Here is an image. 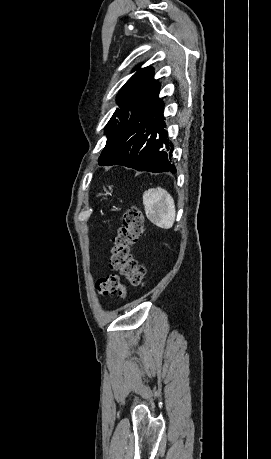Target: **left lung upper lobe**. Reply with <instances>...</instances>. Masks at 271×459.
<instances>
[{"label":"left lung upper lobe","instance_id":"left-lung-upper-lobe-1","mask_svg":"<svg viewBox=\"0 0 271 459\" xmlns=\"http://www.w3.org/2000/svg\"><path fill=\"white\" fill-rule=\"evenodd\" d=\"M135 70L138 71L121 88L117 97L119 108L116 109L104 128L107 138L130 117H141L147 114L155 103V93L160 85L153 79V69L150 67L140 69L138 66ZM108 148L107 139L99 161L106 157Z\"/></svg>","mask_w":271,"mask_h":459}]
</instances>
